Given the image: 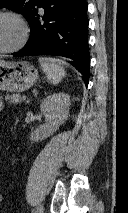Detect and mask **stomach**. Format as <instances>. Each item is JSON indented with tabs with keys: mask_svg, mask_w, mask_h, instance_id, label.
Here are the masks:
<instances>
[{
	"mask_svg": "<svg viewBox=\"0 0 128 213\" xmlns=\"http://www.w3.org/2000/svg\"><path fill=\"white\" fill-rule=\"evenodd\" d=\"M37 78L38 71L29 62L0 59V90L22 92L32 87Z\"/></svg>",
	"mask_w": 128,
	"mask_h": 213,
	"instance_id": "obj_1",
	"label": "stomach"
}]
</instances>
